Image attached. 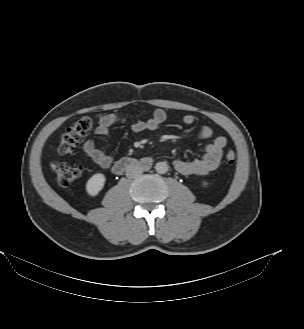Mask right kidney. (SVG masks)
<instances>
[{"label": "right kidney", "mask_w": 304, "mask_h": 329, "mask_svg": "<svg viewBox=\"0 0 304 329\" xmlns=\"http://www.w3.org/2000/svg\"><path fill=\"white\" fill-rule=\"evenodd\" d=\"M105 176L101 173L94 174L89 178L86 184L87 193L90 196H96L104 187Z\"/></svg>", "instance_id": "obj_1"}]
</instances>
